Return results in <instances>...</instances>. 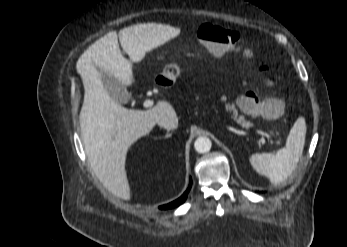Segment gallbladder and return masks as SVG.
Wrapping results in <instances>:
<instances>
[{"instance_id":"obj_1","label":"gallbladder","mask_w":347,"mask_h":247,"mask_svg":"<svg viewBox=\"0 0 347 247\" xmlns=\"http://www.w3.org/2000/svg\"><path fill=\"white\" fill-rule=\"evenodd\" d=\"M100 76L107 93L118 103H127L131 95L126 90L125 86L109 73L99 69Z\"/></svg>"}]
</instances>
